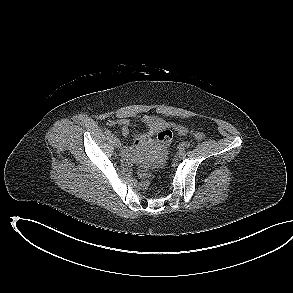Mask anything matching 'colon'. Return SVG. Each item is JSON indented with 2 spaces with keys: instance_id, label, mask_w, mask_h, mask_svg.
Returning <instances> with one entry per match:
<instances>
[{
  "instance_id": "5ec220e1",
  "label": "colon",
  "mask_w": 293,
  "mask_h": 293,
  "mask_svg": "<svg viewBox=\"0 0 293 293\" xmlns=\"http://www.w3.org/2000/svg\"><path fill=\"white\" fill-rule=\"evenodd\" d=\"M192 136L197 139V140H203L205 138V134L203 132L200 131H193L192 132ZM157 139L159 142V145L162 148H166L168 147L173 139V133L170 129H163L161 131H159L158 135H157ZM139 175L142 178V187L144 189H148L149 185H150V173L146 168H141L139 171Z\"/></svg>"
}]
</instances>
